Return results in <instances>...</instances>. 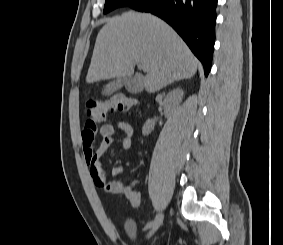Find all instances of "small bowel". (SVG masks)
Instances as JSON below:
<instances>
[{"label":"small bowel","instance_id":"small-bowel-1","mask_svg":"<svg viewBox=\"0 0 283 245\" xmlns=\"http://www.w3.org/2000/svg\"><path fill=\"white\" fill-rule=\"evenodd\" d=\"M97 123L87 120L81 131L85 161L90 167V173L97 188L109 194H123L126 184L117 180L108 181L101 160L112 146H118L124 150L130 149L134 133L133 127L125 121H118L116 127L111 124H103L98 127ZM97 136H100L102 140L95 149ZM112 175L114 177L125 176L127 171L123 167H115Z\"/></svg>","mask_w":283,"mask_h":245}]
</instances>
